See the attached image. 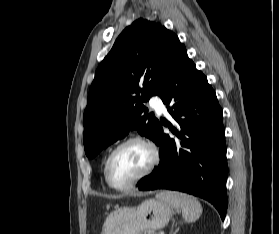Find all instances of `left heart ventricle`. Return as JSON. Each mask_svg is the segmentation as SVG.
Returning a JSON list of instances; mask_svg holds the SVG:
<instances>
[{
	"label": "left heart ventricle",
	"instance_id": "left-heart-ventricle-1",
	"mask_svg": "<svg viewBox=\"0 0 279 234\" xmlns=\"http://www.w3.org/2000/svg\"><path fill=\"white\" fill-rule=\"evenodd\" d=\"M150 161L149 150L139 144L131 143L120 149L110 165V178L117 184H125L137 177Z\"/></svg>",
	"mask_w": 279,
	"mask_h": 234
}]
</instances>
